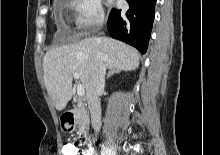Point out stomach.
Instances as JSON below:
<instances>
[{
	"label": "stomach",
	"mask_w": 220,
	"mask_h": 155,
	"mask_svg": "<svg viewBox=\"0 0 220 155\" xmlns=\"http://www.w3.org/2000/svg\"><path fill=\"white\" fill-rule=\"evenodd\" d=\"M62 129L66 132H72L74 130V125L73 124H69L68 122H64L62 123Z\"/></svg>",
	"instance_id": "stomach-1"
}]
</instances>
